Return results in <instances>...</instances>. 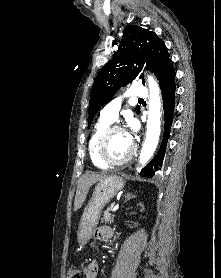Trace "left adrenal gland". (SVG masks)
Here are the masks:
<instances>
[{
  "label": "left adrenal gland",
  "instance_id": "1",
  "mask_svg": "<svg viewBox=\"0 0 221 278\" xmlns=\"http://www.w3.org/2000/svg\"><path fill=\"white\" fill-rule=\"evenodd\" d=\"M132 198H136V195H133L131 193H127L125 195V202H127L128 200L132 199Z\"/></svg>",
  "mask_w": 221,
  "mask_h": 278
}]
</instances>
